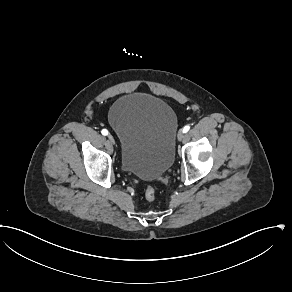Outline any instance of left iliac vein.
<instances>
[{
    "label": "left iliac vein",
    "instance_id": "left-iliac-vein-1",
    "mask_svg": "<svg viewBox=\"0 0 292 292\" xmlns=\"http://www.w3.org/2000/svg\"><path fill=\"white\" fill-rule=\"evenodd\" d=\"M184 136H185V133L183 131H179L178 136H177L178 141H182Z\"/></svg>",
    "mask_w": 292,
    "mask_h": 292
}]
</instances>
